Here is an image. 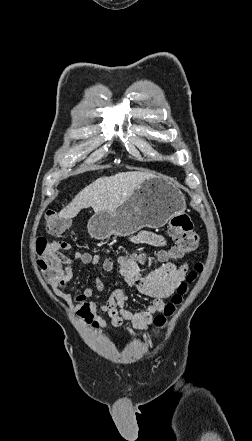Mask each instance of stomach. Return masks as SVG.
<instances>
[{
  "label": "stomach",
  "mask_w": 252,
  "mask_h": 441,
  "mask_svg": "<svg viewBox=\"0 0 252 441\" xmlns=\"http://www.w3.org/2000/svg\"><path fill=\"white\" fill-rule=\"evenodd\" d=\"M185 209L183 193L167 178L154 176L143 181L114 211L95 213L87 227L98 240L125 237L143 227L160 228Z\"/></svg>",
  "instance_id": "stomach-1"
}]
</instances>
